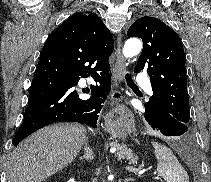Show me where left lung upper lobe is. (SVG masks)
<instances>
[{
    "label": "left lung upper lobe",
    "mask_w": 211,
    "mask_h": 182,
    "mask_svg": "<svg viewBox=\"0 0 211 182\" xmlns=\"http://www.w3.org/2000/svg\"><path fill=\"white\" fill-rule=\"evenodd\" d=\"M128 37H139L143 50L134 72L147 71L153 96L145 103V119L157 112L169 113L189 123V98L185 55L180 37L158 18L144 16L135 21Z\"/></svg>",
    "instance_id": "1"
}]
</instances>
